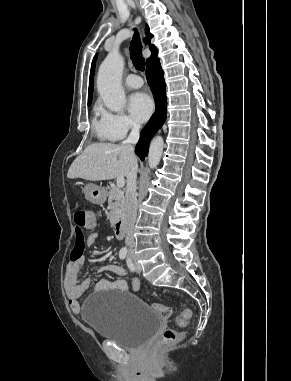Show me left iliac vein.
I'll return each mask as SVG.
<instances>
[{
    "label": "left iliac vein",
    "mask_w": 291,
    "mask_h": 381,
    "mask_svg": "<svg viewBox=\"0 0 291 381\" xmlns=\"http://www.w3.org/2000/svg\"><path fill=\"white\" fill-rule=\"evenodd\" d=\"M141 270H142L141 265L137 261H134V271L137 273H140Z\"/></svg>",
    "instance_id": "1"
}]
</instances>
